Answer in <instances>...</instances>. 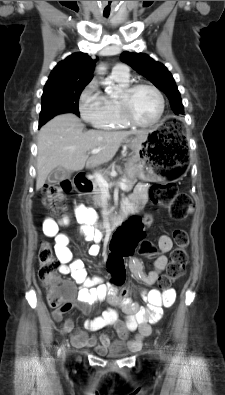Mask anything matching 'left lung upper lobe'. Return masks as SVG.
I'll return each mask as SVG.
<instances>
[{
	"label": "left lung upper lobe",
	"instance_id": "left-lung-upper-lobe-1",
	"mask_svg": "<svg viewBox=\"0 0 225 395\" xmlns=\"http://www.w3.org/2000/svg\"><path fill=\"white\" fill-rule=\"evenodd\" d=\"M121 60L130 65L139 74L149 79L169 99L176 114H183L184 107L175 81L168 69L161 63L142 53L123 52Z\"/></svg>",
	"mask_w": 225,
	"mask_h": 395
}]
</instances>
